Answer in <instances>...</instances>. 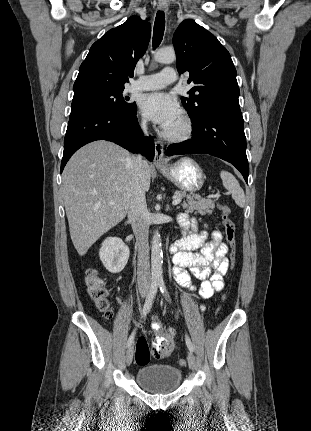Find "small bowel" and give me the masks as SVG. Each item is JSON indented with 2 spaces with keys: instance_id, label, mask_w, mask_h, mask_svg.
<instances>
[{
  "instance_id": "c3829d8e",
  "label": "small bowel",
  "mask_w": 311,
  "mask_h": 431,
  "mask_svg": "<svg viewBox=\"0 0 311 431\" xmlns=\"http://www.w3.org/2000/svg\"><path fill=\"white\" fill-rule=\"evenodd\" d=\"M178 224L183 235L171 248L174 253L173 262L176 266L177 280L182 286L197 290L202 298L209 299L224 288L223 277L229 266L226 258L228 247L222 241V234L218 230L213 231L210 235L211 239L207 241L208 231L206 229L198 230L197 221L186 214L178 216ZM185 268L189 269L194 277L201 280L198 288L190 285L188 275L184 271ZM152 327L160 335L159 337L172 341L174 336L172 329L163 333L157 320L153 321Z\"/></svg>"
}]
</instances>
